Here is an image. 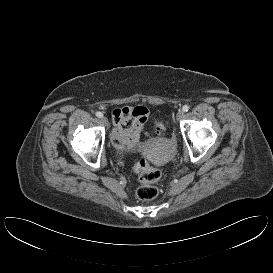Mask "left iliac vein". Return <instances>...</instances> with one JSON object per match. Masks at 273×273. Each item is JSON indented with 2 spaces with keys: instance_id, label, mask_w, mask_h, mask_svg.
Instances as JSON below:
<instances>
[{
  "instance_id": "4c4485c4",
  "label": "left iliac vein",
  "mask_w": 273,
  "mask_h": 273,
  "mask_svg": "<svg viewBox=\"0 0 273 273\" xmlns=\"http://www.w3.org/2000/svg\"><path fill=\"white\" fill-rule=\"evenodd\" d=\"M183 116H184L183 110H179L176 114V119L179 121L183 118Z\"/></svg>"
}]
</instances>
